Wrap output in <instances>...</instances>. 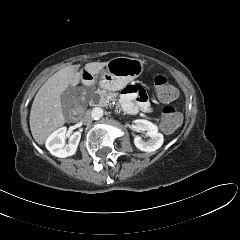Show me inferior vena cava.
Instances as JSON below:
<instances>
[{"label":"inferior vena cava","mask_w":240,"mask_h":240,"mask_svg":"<svg viewBox=\"0 0 240 240\" xmlns=\"http://www.w3.org/2000/svg\"><path fill=\"white\" fill-rule=\"evenodd\" d=\"M91 121H92L91 113L87 111L82 118V122L87 125L90 124Z\"/></svg>","instance_id":"602c4592"}]
</instances>
